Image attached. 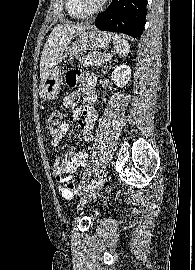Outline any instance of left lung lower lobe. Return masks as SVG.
Instances as JSON below:
<instances>
[{"label": "left lung lower lobe", "instance_id": "obj_1", "mask_svg": "<svg viewBox=\"0 0 195 270\" xmlns=\"http://www.w3.org/2000/svg\"><path fill=\"white\" fill-rule=\"evenodd\" d=\"M147 0H113L95 19L100 30L121 32L134 38L143 33Z\"/></svg>", "mask_w": 195, "mask_h": 270}]
</instances>
